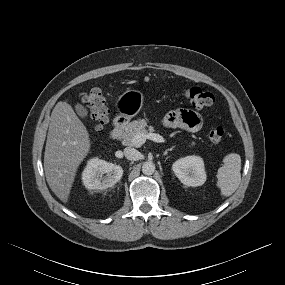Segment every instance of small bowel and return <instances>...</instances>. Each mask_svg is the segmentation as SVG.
Listing matches in <instances>:
<instances>
[{"label": "small bowel", "mask_w": 285, "mask_h": 285, "mask_svg": "<svg viewBox=\"0 0 285 285\" xmlns=\"http://www.w3.org/2000/svg\"><path fill=\"white\" fill-rule=\"evenodd\" d=\"M163 123L170 128H180L189 132H197L202 128L203 119L199 113L186 109H178L169 112L164 117Z\"/></svg>", "instance_id": "obj_1"}]
</instances>
